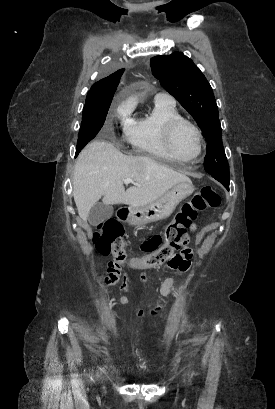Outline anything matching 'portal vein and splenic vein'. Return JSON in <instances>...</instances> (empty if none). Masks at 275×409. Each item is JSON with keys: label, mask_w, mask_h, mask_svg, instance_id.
Returning <instances> with one entry per match:
<instances>
[{"label": "portal vein and splenic vein", "mask_w": 275, "mask_h": 409, "mask_svg": "<svg viewBox=\"0 0 275 409\" xmlns=\"http://www.w3.org/2000/svg\"><path fill=\"white\" fill-rule=\"evenodd\" d=\"M125 184H129V182H133V184H137V182H134L133 178H124ZM138 186H141V184H138Z\"/></svg>", "instance_id": "1"}]
</instances>
